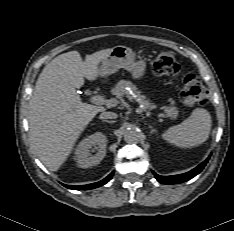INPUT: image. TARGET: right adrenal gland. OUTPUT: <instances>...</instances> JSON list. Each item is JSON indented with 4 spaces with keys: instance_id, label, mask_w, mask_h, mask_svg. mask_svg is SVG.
Wrapping results in <instances>:
<instances>
[{
    "instance_id": "right-adrenal-gland-1",
    "label": "right adrenal gland",
    "mask_w": 234,
    "mask_h": 231,
    "mask_svg": "<svg viewBox=\"0 0 234 231\" xmlns=\"http://www.w3.org/2000/svg\"><path fill=\"white\" fill-rule=\"evenodd\" d=\"M103 122H107V123H113L114 121H109V120H102Z\"/></svg>"
}]
</instances>
